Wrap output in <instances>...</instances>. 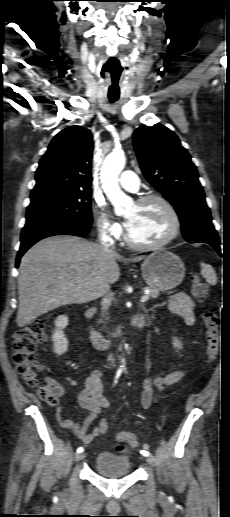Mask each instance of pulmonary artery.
Listing matches in <instances>:
<instances>
[{
  "mask_svg": "<svg viewBox=\"0 0 230 517\" xmlns=\"http://www.w3.org/2000/svg\"><path fill=\"white\" fill-rule=\"evenodd\" d=\"M119 183L127 191L136 192L139 190V179L133 171H124L120 176Z\"/></svg>",
  "mask_w": 230,
  "mask_h": 517,
  "instance_id": "pulmonary-artery-1",
  "label": "pulmonary artery"
}]
</instances>
